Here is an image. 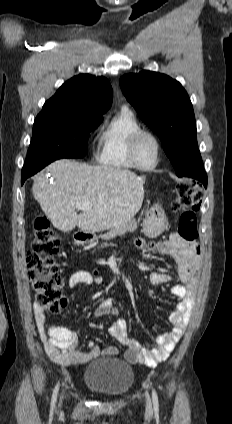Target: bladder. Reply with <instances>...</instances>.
<instances>
[{
	"instance_id": "1",
	"label": "bladder",
	"mask_w": 232,
	"mask_h": 424,
	"mask_svg": "<svg viewBox=\"0 0 232 424\" xmlns=\"http://www.w3.org/2000/svg\"><path fill=\"white\" fill-rule=\"evenodd\" d=\"M133 368L118 358L102 357L89 363L84 371V385L108 398L124 395L132 386Z\"/></svg>"
}]
</instances>
